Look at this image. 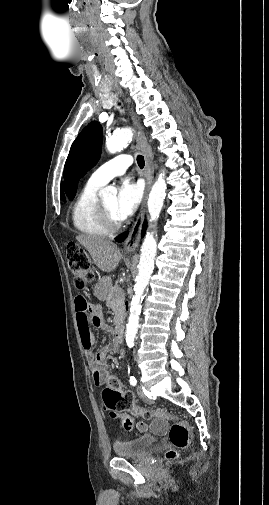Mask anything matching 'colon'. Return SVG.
Returning <instances> with one entry per match:
<instances>
[{"label":"colon","instance_id":"colon-1","mask_svg":"<svg viewBox=\"0 0 269 505\" xmlns=\"http://www.w3.org/2000/svg\"><path fill=\"white\" fill-rule=\"evenodd\" d=\"M66 259L68 267L74 275V283L78 289H84L93 280L88 254L78 245L72 244L67 248ZM103 408L111 417H121L126 430H131L134 425L133 415H141L145 418L153 416L165 417L166 409L159 407L150 409L135 405L133 393L121 390V383L115 375H109L105 381V388L101 393ZM168 436L173 449L167 453L168 458H175L176 450L185 449L190 443L189 425L184 420L172 423Z\"/></svg>","mask_w":269,"mask_h":505}]
</instances>
